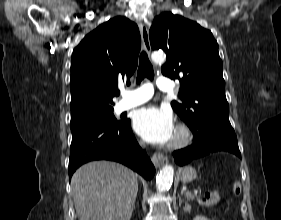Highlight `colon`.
Masks as SVG:
<instances>
[{"label":"colon","instance_id":"colon-1","mask_svg":"<svg viewBox=\"0 0 281 220\" xmlns=\"http://www.w3.org/2000/svg\"><path fill=\"white\" fill-rule=\"evenodd\" d=\"M233 194L239 196L241 194V186L239 183L233 185ZM200 201L204 205H214L219 201V193L216 190H211L202 195Z\"/></svg>","mask_w":281,"mask_h":220}]
</instances>
